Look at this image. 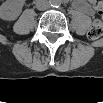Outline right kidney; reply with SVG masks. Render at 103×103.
Returning <instances> with one entry per match:
<instances>
[{
  "instance_id": "ca27d5eb",
  "label": "right kidney",
  "mask_w": 103,
  "mask_h": 103,
  "mask_svg": "<svg viewBox=\"0 0 103 103\" xmlns=\"http://www.w3.org/2000/svg\"><path fill=\"white\" fill-rule=\"evenodd\" d=\"M24 3L7 0L0 6V17L6 21H14L20 15Z\"/></svg>"
}]
</instances>
